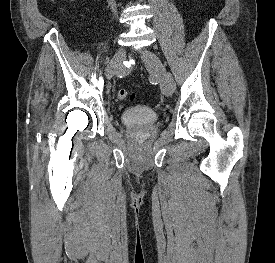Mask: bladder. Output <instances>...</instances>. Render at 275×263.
Masks as SVG:
<instances>
[{"label": "bladder", "instance_id": "bladder-1", "mask_svg": "<svg viewBox=\"0 0 275 263\" xmlns=\"http://www.w3.org/2000/svg\"><path fill=\"white\" fill-rule=\"evenodd\" d=\"M158 119V113L146 106H132L124 109L120 120L129 126L146 127L153 125Z\"/></svg>", "mask_w": 275, "mask_h": 263}]
</instances>
